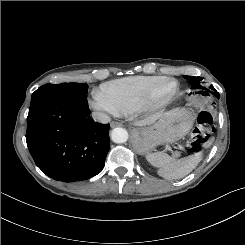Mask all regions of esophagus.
<instances>
[{
    "mask_svg": "<svg viewBox=\"0 0 245 245\" xmlns=\"http://www.w3.org/2000/svg\"><path fill=\"white\" fill-rule=\"evenodd\" d=\"M110 126H111V128L118 127V126H121V123L113 121L110 123Z\"/></svg>",
    "mask_w": 245,
    "mask_h": 245,
    "instance_id": "34e87169",
    "label": "esophagus"
}]
</instances>
